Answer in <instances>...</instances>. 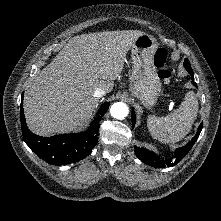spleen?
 I'll use <instances>...</instances> for the list:
<instances>
[{
	"mask_svg": "<svg viewBox=\"0 0 221 221\" xmlns=\"http://www.w3.org/2000/svg\"><path fill=\"white\" fill-rule=\"evenodd\" d=\"M198 101L189 91L178 109L164 118L149 115L147 127L154 139L162 143H175L182 140L190 131L198 112Z\"/></svg>",
	"mask_w": 221,
	"mask_h": 221,
	"instance_id": "obj_1",
	"label": "spleen"
}]
</instances>
